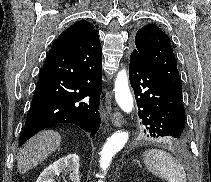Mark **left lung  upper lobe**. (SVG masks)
<instances>
[{"label":"left lung upper lobe","mask_w":211,"mask_h":182,"mask_svg":"<svg viewBox=\"0 0 211 182\" xmlns=\"http://www.w3.org/2000/svg\"><path fill=\"white\" fill-rule=\"evenodd\" d=\"M134 51L156 71L177 93L182 94L177 61L170 38L155 24H148L138 30Z\"/></svg>","instance_id":"left-lung-upper-lobe-1"}]
</instances>
